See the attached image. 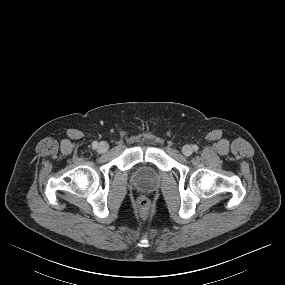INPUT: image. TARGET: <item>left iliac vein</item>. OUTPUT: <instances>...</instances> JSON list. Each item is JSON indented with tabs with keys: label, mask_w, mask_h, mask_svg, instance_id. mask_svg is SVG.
I'll return each instance as SVG.
<instances>
[{
	"label": "left iliac vein",
	"mask_w": 285,
	"mask_h": 285,
	"mask_svg": "<svg viewBox=\"0 0 285 285\" xmlns=\"http://www.w3.org/2000/svg\"><path fill=\"white\" fill-rule=\"evenodd\" d=\"M193 152V149L190 145H184L183 148H182V153L185 155V156H190Z\"/></svg>",
	"instance_id": "obj_1"
}]
</instances>
